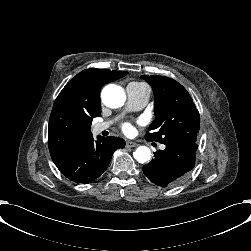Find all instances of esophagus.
<instances>
[{
	"mask_svg": "<svg viewBox=\"0 0 251 251\" xmlns=\"http://www.w3.org/2000/svg\"><path fill=\"white\" fill-rule=\"evenodd\" d=\"M135 146H137L135 142L129 140L126 141V147H135Z\"/></svg>",
	"mask_w": 251,
	"mask_h": 251,
	"instance_id": "34e87169",
	"label": "esophagus"
}]
</instances>
